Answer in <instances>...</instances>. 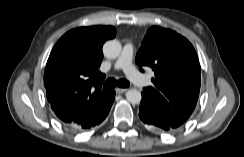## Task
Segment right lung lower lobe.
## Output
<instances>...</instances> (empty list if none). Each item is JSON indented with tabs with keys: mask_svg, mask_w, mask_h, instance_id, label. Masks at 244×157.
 <instances>
[{
	"mask_svg": "<svg viewBox=\"0 0 244 157\" xmlns=\"http://www.w3.org/2000/svg\"><path fill=\"white\" fill-rule=\"evenodd\" d=\"M114 98H115V92L111 91V96H110L109 102L101 110H99L91 118L90 122H88L86 125L85 124H82V125L65 124V125H67L68 127L72 128V129H75V130H82V129H90V128L100 124L108 115V113L111 109L112 103L114 101Z\"/></svg>",
	"mask_w": 244,
	"mask_h": 157,
	"instance_id": "obj_1",
	"label": "right lung lower lobe"
}]
</instances>
